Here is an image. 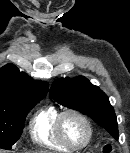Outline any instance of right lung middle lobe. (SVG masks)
<instances>
[{"label": "right lung middle lobe", "mask_w": 130, "mask_h": 153, "mask_svg": "<svg viewBox=\"0 0 130 153\" xmlns=\"http://www.w3.org/2000/svg\"><path fill=\"white\" fill-rule=\"evenodd\" d=\"M35 101L19 108H0V148L10 150L20 138L25 117Z\"/></svg>", "instance_id": "obj_1"}]
</instances>
